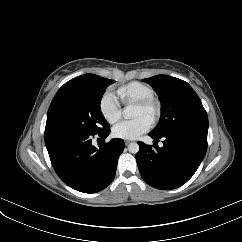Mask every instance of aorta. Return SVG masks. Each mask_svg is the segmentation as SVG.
Returning <instances> with one entry per match:
<instances>
[{"instance_id": "1", "label": "aorta", "mask_w": 242, "mask_h": 242, "mask_svg": "<svg viewBox=\"0 0 242 242\" xmlns=\"http://www.w3.org/2000/svg\"><path fill=\"white\" fill-rule=\"evenodd\" d=\"M124 115L126 118H132L135 116V112H134V107L133 106H129V107H126L124 109ZM128 150L130 153L132 154H136L138 153L139 151V145L137 143H130L128 145Z\"/></svg>"}]
</instances>
